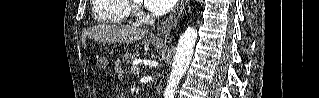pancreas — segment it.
Wrapping results in <instances>:
<instances>
[{
  "instance_id": "cf45deb5",
  "label": "pancreas",
  "mask_w": 319,
  "mask_h": 98,
  "mask_svg": "<svg viewBox=\"0 0 319 98\" xmlns=\"http://www.w3.org/2000/svg\"><path fill=\"white\" fill-rule=\"evenodd\" d=\"M138 56H139L138 52L126 53L123 56V60H124V62H129L130 60H133L134 58H136Z\"/></svg>"
}]
</instances>
